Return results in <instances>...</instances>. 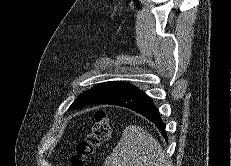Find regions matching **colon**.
I'll list each match as a JSON object with an SVG mask.
<instances>
[{
    "instance_id": "colon-1",
    "label": "colon",
    "mask_w": 231,
    "mask_h": 166,
    "mask_svg": "<svg viewBox=\"0 0 231 166\" xmlns=\"http://www.w3.org/2000/svg\"><path fill=\"white\" fill-rule=\"evenodd\" d=\"M110 136V123L104 111L95 114L90 132L79 142L76 153L72 158V166H86L94 156L98 147Z\"/></svg>"
}]
</instances>
